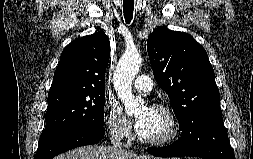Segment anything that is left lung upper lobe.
Returning a JSON list of instances; mask_svg holds the SVG:
<instances>
[{
    "label": "left lung upper lobe",
    "instance_id": "1",
    "mask_svg": "<svg viewBox=\"0 0 253 159\" xmlns=\"http://www.w3.org/2000/svg\"><path fill=\"white\" fill-rule=\"evenodd\" d=\"M147 51L154 77L171 100L182 134L222 117L213 67L191 35L158 27L148 37Z\"/></svg>",
    "mask_w": 253,
    "mask_h": 159
}]
</instances>
